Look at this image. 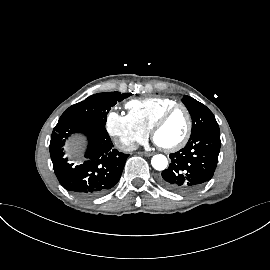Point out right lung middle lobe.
Returning <instances> with one entry per match:
<instances>
[{
    "label": "right lung middle lobe",
    "instance_id": "1",
    "mask_svg": "<svg viewBox=\"0 0 270 270\" xmlns=\"http://www.w3.org/2000/svg\"><path fill=\"white\" fill-rule=\"evenodd\" d=\"M131 94L119 92H104L89 96L84 101L69 107L58 122L70 120H90L105 126L107 114L116 103L129 97Z\"/></svg>",
    "mask_w": 270,
    "mask_h": 270
}]
</instances>
